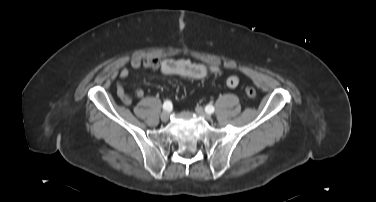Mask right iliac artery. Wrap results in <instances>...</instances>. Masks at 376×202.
Listing matches in <instances>:
<instances>
[{
    "label": "right iliac artery",
    "mask_w": 376,
    "mask_h": 202,
    "mask_svg": "<svg viewBox=\"0 0 376 202\" xmlns=\"http://www.w3.org/2000/svg\"><path fill=\"white\" fill-rule=\"evenodd\" d=\"M163 109L167 110V111L171 110L172 109L171 101H169V100L165 101L164 104H163Z\"/></svg>",
    "instance_id": "82829eb1"
}]
</instances>
